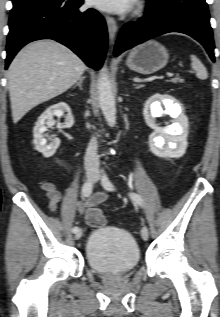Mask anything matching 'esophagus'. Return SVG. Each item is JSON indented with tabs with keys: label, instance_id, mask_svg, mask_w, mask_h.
<instances>
[{
	"label": "esophagus",
	"instance_id": "obj_1",
	"mask_svg": "<svg viewBox=\"0 0 220 317\" xmlns=\"http://www.w3.org/2000/svg\"><path fill=\"white\" fill-rule=\"evenodd\" d=\"M105 20H106V23H107V28H108L110 41H111V43H113L114 40H115V36H116L117 30H118V26H117L116 20L113 17H110V16H106Z\"/></svg>",
	"mask_w": 220,
	"mask_h": 317
}]
</instances>
